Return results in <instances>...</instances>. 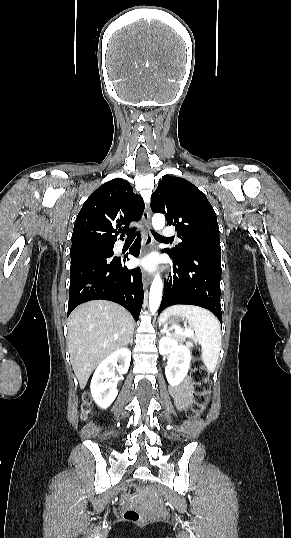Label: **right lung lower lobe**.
Wrapping results in <instances>:
<instances>
[{
    "mask_svg": "<svg viewBox=\"0 0 291 538\" xmlns=\"http://www.w3.org/2000/svg\"><path fill=\"white\" fill-rule=\"evenodd\" d=\"M140 235L130 248L138 257ZM129 260L113 253H96L71 259L68 315L81 303L104 299L125 307L138 320L144 298L140 268L129 270L121 262Z\"/></svg>",
    "mask_w": 291,
    "mask_h": 538,
    "instance_id": "right-lung-lower-lobe-1",
    "label": "right lung lower lobe"
}]
</instances>
